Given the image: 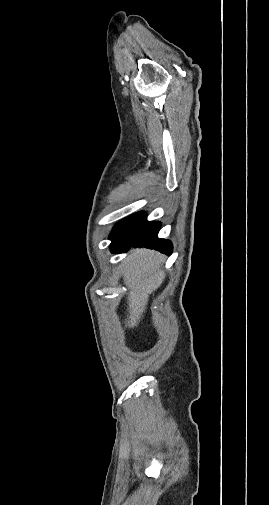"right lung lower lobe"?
Here are the masks:
<instances>
[{"mask_svg": "<svg viewBox=\"0 0 269 505\" xmlns=\"http://www.w3.org/2000/svg\"><path fill=\"white\" fill-rule=\"evenodd\" d=\"M160 223L147 221L144 212L134 213L120 220L113 228L109 239L112 241V253L125 252L132 246L155 249L170 255L173 250L171 241L157 237Z\"/></svg>", "mask_w": 269, "mask_h": 505, "instance_id": "right-lung-lower-lobe-1", "label": "right lung lower lobe"}]
</instances>
